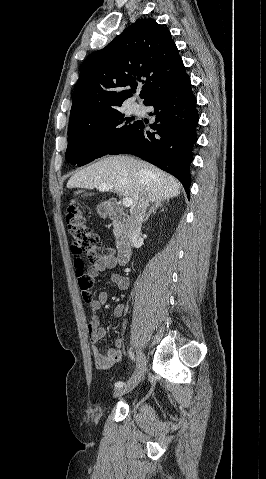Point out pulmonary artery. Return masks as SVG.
Returning <instances> with one entry per match:
<instances>
[{"label": "pulmonary artery", "instance_id": "e3ab8cb5", "mask_svg": "<svg viewBox=\"0 0 266 479\" xmlns=\"http://www.w3.org/2000/svg\"><path fill=\"white\" fill-rule=\"evenodd\" d=\"M139 108H140V106L137 105V104H134V105L132 106V110L135 111V112H137V111L139 110Z\"/></svg>", "mask_w": 266, "mask_h": 479}]
</instances>
